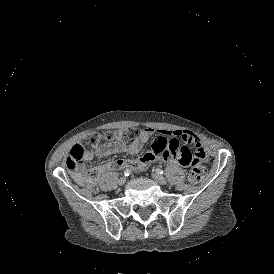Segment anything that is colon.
Wrapping results in <instances>:
<instances>
[{"instance_id": "1", "label": "colon", "mask_w": 274, "mask_h": 274, "mask_svg": "<svg viewBox=\"0 0 274 274\" xmlns=\"http://www.w3.org/2000/svg\"><path fill=\"white\" fill-rule=\"evenodd\" d=\"M138 130L135 127H129L122 130H110L102 134H93L86 137L82 143L75 144L69 155L65 159L66 167L71 170H77L82 164V158L85 152L92 151L93 147L102 139L112 141L116 138L124 141H132L136 138ZM190 170L187 173L188 181L191 184H197L202 178V171L200 167L189 166Z\"/></svg>"}]
</instances>
